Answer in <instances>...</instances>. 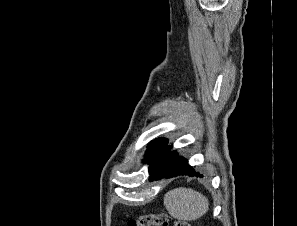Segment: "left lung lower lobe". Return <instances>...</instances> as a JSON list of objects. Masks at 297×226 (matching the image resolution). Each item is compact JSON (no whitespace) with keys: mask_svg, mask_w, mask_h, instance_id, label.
<instances>
[{"mask_svg":"<svg viewBox=\"0 0 297 226\" xmlns=\"http://www.w3.org/2000/svg\"><path fill=\"white\" fill-rule=\"evenodd\" d=\"M171 146H168L163 156L156 163L150 173V181L161 178H170L177 175H189L203 177L198 172L196 173L193 167L189 166L187 160L176 151H170Z\"/></svg>","mask_w":297,"mask_h":226,"instance_id":"left-lung-lower-lobe-1","label":"left lung lower lobe"}]
</instances>
